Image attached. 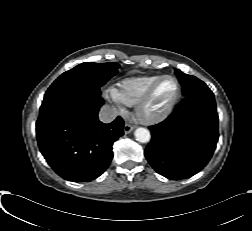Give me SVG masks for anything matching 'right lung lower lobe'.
<instances>
[{
  "label": "right lung lower lobe",
  "instance_id": "obj_1",
  "mask_svg": "<svg viewBox=\"0 0 252 231\" xmlns=\"http://www.w3.org/2000/svg\"><path fill=\"white\" fill-rule=\"evenodd\" d=\"M104 104L95 92L60 94L40 107L36 122L39 149L62 178L84 182L99 177L109 166L113 143L124 134V121L98 120Z\"/></svg>",
  "mask_w": 252,
  "mask_h": 231
}]
</instances>
